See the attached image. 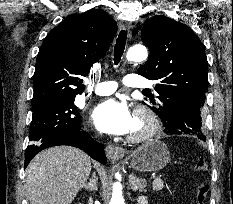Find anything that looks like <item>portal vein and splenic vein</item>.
<instances>
[{"label": "portal vein and splenic vein", "mask_w": 233, "mask_h": 204, "mask_svg": "<svg viewBox=\"0 0 233 204\" xmlns=\"http://www.w3.org/2000/svg\"><path fill=\"white\" fill-rule=\"evenodd\" d=\"M160 177H161V176H157V177L155 178V180H160Z\"/></svg>", "instance_id": "18ae733b"}]
</instances>
